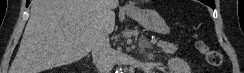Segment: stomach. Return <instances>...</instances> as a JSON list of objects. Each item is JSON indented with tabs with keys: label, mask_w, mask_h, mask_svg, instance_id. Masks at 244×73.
<instances>
[{
	"label": "stomach",
	"mask_w": 244,
	"mask_h": 73,
	"mask_svg": "<svg viewBox=\"0 0 244 73\" xmlns=\"http://www.w3.org/2000/svg\"><path fill=\"white\" fill-rule=\"evenodd\" d=\"M127 14L148 31L163 35L170 32V27L166 20L154 10L137 8L127 11Z\"/></svg>",
	"instance_id": "stomach-1"
}]
</instances>
